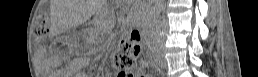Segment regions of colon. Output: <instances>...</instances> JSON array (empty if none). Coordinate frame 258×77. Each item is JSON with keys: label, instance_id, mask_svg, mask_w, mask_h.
Masks as SVG:
<instances>
[{"label": "colon", "instance_id": "5ec220e1", "mask_svg": "<svg viewBox=\"0 0 258 77\" xmlns=\"http://www.w3.org/2000/svg\"><path fill=\"white\" fill-rule=\"evenodd\" d=\"M49 30V21L45 13L39 15L34 34L36 39H44ZM138 40L132 34L127 39L122 41L119 45V48L114 55V66L119 70H130L134 65V51L138 45Z\"/></svg>", "mask_w": 258, "mask_h": 77}]
</instances>
